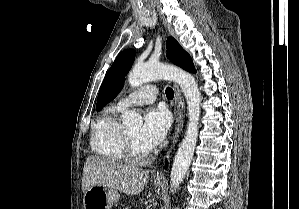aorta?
I'll return each instance as SVG.
<instances>
[{
  "label": "aorta",
  "mask_w": 299,
  "mask_h": 209,
  "mask_svg": "<svg viewBox=\"0 0 299 209\" xmlns=\"http://www.w3.org/2000/svg\"><path fill=\"white\" fill-rule=\"evenodd\" d=\"M159 79L171 80L180 86L186 98L189 115L187 130L175 155L170 174L171 187L176 191L182 183L194 155L198 137L201 94L194 77L172 65L137 63L128 76V82L132 88ZM123 123L127 126L141 125L142 117L131 110L123 115Z\"/></svg>",
  "instance_id": "aorta-1"
}]
</instances>
